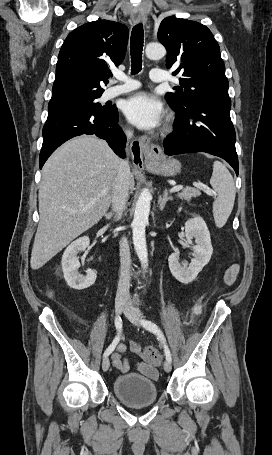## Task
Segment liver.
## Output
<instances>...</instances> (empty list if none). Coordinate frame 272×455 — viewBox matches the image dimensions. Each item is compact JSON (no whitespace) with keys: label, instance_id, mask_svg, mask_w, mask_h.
I'll list each match as a JSON object with an SVG mask.
<instances>
[{"label":"liver","instance_id":"6515ba94","mask_svg":"<svg viewBox=\"0 0 272 455\" xmlns=\"http://www.w3.org/2000/svg\"><path fill=\"white\" fill-rule=\"evenodd\" d=\"M120 161L105 141L90 135L67 141L50 156L39 188L40 221L30 260L33 270L105 215ZM134 185L130 174L129 188Z\"/></svg>","mask_w":272,"mask_h":455}]
</instances>
